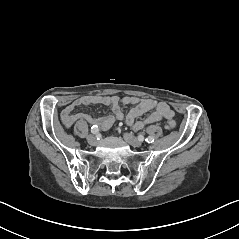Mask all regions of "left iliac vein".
Returning a JSON list of instances; mask_svg holds the SVG:
<instances>
[{
    "instance_id": "1",
    "label": "left iliac vein",
    "mask_w": 239,
    "mask_h": 239,
    "mask_svg": "<svg viewBox=\"0 0 239 239\" xmlns=\"http://www.w3.org/2000/svg\"><path fill=\"white\" fill-rule=\"evenodd\" d=\"M123 138L127 143H129L133 147H140L142 145V142L139 139H137L136 137H134L129 133H124Z\"/></svg>"
}]
</instances>
